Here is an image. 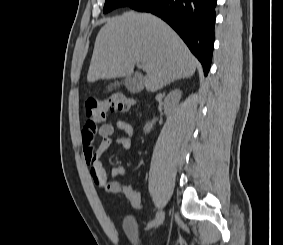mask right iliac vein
<instances>
[{
  "instance_id": "63e3f726",
  "label": "right iliac vein",
  "mask_w": 283,
  "mask_h": 245,
  "mask_svg": "<svg viewBox=\"0 0 283 245\" xmlns=\"http://www.w3.org/2000/svg\"><path fill=\"white\" fill-rule=\"evenodd\" d=\"M164 217H165V212H164L163 210H161V211L157 214V216L155 217L154 223H153V225L151 226V228H152L153 230L157 229V228L160 226V224L163 222Z\"/></svg>"
}]
</instances>
